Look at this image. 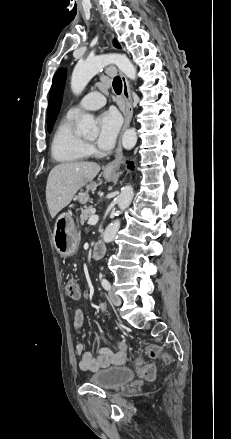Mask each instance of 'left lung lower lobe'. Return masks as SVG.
<instances>
[{"label":"left lung lower lobe","instance_id":"left-lung-lower-lobe-1","mask_svg":"<svg viewBox=\"0 0 231 439\" xmlns=\"http://www.w3.org/2000/svg\"><path fill=\"white\" fill-rule=\"evenodd\" d=\"M127 163H128V162H127ZM127 167H128L129 169H131V170H132V169H133V167H134V166H133V163H132V162L128 163V166H127Z\"/></svg>","mask_w":231,"mask_h":439}]
</instances>
